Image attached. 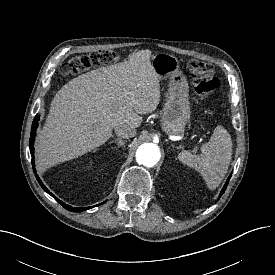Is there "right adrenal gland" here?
<instances>
[{"instance_id":"1","label":"right adrenal gland","mask_w":275,"mask_h":275,"mask_svg":"<svg viewBox=\"0 0 275 275\" xmlns=\"http://www.w3.org/2000/svg\"><path fill=\"white\" fill-rule=\"evenodd\" d=\"M110 144L112 143H117L118 147L124 146L126 141L120 138L114 139L112 141L109 142Z\"/></svg>"}]
</instances>
